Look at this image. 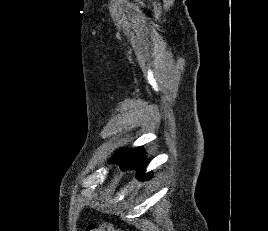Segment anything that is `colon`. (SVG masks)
<instances>
[{
    "instance_id": "1",
    "label": "colon",
    "mask_w": 268,
    "mask_h": 231,
    "mask_svg": "<svg viewBox=\"0 0 268 231\" xmlns=\"http://www.w3.org/2000/svg\"><path fill=\"white\" fill-rule=\"evenodd\" d=\"M84 231H115L112 224L108 221H103L99 224H88ZM121 231V230H117Z\"/></svg>"
}]
</instances>
